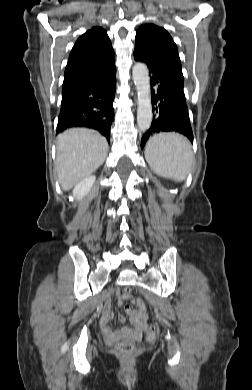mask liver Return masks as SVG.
I'll use <instances>...</instances> for the list:
<instances>
[{
  "label": "liver",
  "mask_w": 252,
  "mask_h": 390,
  "mask_svg": "<svg viewBox=\"0 0 252 390\" xmlns=\"http://www.w3.org/2000/svg\"><path fill=\"white\" fill-rule=\"evenodd\" d=\"M56 171L63 190L89 177L105 161L107 140L86 128L66 130L57 137Z\"/></svg>",
  "instance_id": "obj_1"
}]
</instances>
